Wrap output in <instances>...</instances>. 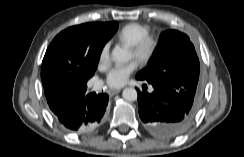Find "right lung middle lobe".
<instances>
[{"mask_svg": "<svg viewBox=\"0 0 244 157\" xmlns=\"http://www.w3.org/2000/svg\"><path fill=\"white\" fill-rule=\"evenodd\" d=\"M118 25L116 27V30ZM95 33L83 25L70 27L58 34L44 56L41 77L53 83L67 80L73 66H75V53L81 46H95L89 58L90 74L93 76L100 58L101 51L108 39L94 41Z\"/></svg>", "mask_w": 244, "mask_h": 157, "instance_id": "obj_1", "label": "right lung middle lobe"}]
</instances>
